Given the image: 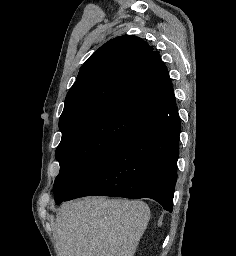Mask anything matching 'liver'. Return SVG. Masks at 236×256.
Returning <instances> with one entry per match:
<instances>
[{
    "label": "liver",
    "instance_id": "obj_1",
    "mask_svg": "<svg viewBox=\"0 0 236 256\" xmlns=\"http://www.w3.org/2000/svg\"><path fill=\"white\" fill-rule=\"evenodd\" d=\"M149 220L140 200L93 196L62 204L54 224L57 256H134Z\"/></svg>",
    "mask_w": 236,
    "mask_h": 256
}]
</instances>
